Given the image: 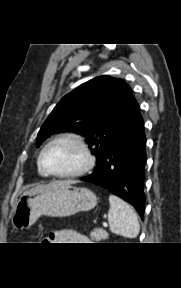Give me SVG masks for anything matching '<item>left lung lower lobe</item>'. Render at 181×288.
I'll list each match as a JSON object with an SVG mask.
<instances>
[{
    "label": "left lung lower lobe",
    "mask_w": 181,
    "mask_h": 288,
    "mask_svg": "<svg viewBox=\"0 0 181 288\" xmlns=\"http://www.w3.org/2000/svg\"><path fill=\"white\" fill-rule=\"evenodd\" d=\"M146 137L139 105L134 100L127 119L94 172L81 180L99 185L133 205L143 219Z\"/></svg>",
    "instance_id": "left-lung-lower-lobe-1"
}]
</instances>
